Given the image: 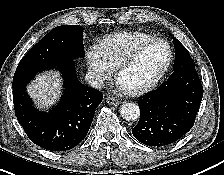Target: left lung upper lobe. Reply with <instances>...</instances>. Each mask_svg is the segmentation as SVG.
I'll use <instances>...</instances> for the list:
<instances>
[{
	"instance_id": "obj_1",
	"label": "left lung upper lobe",
	"mask_w": 224,
	"mask_h": 175,
	"mask_svg": "<svg viewBox=\"0 0 224 175\" xmlns=\"http://www.w3.org/2000/svg\"><path fill=\"white\" fill-rule=\"evenodd\" d=\"M173 42L175 46V62L173 69L182 66H194V63L188 50L175 37H173Z\"/></svg>"
}]
</instances>
